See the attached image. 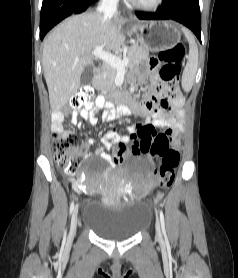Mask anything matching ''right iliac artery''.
Here are the masks:
<instances>
[{
  "label": "right iliac artery",
  "mask_w": 238,
  "mask_h": 278,
  "mask_svg": "<svg viewBox=\"0 0 238 278\" xmlns=\"http://www.w3.org/2000/svg\"><path fill=\"white\" fill-rule=\"evenodd\" d=\"M74 210V202H71L70 204V214L73 212Z\"/></svg>",
  "instance_id": "82829eb1"
}]
</instances>
